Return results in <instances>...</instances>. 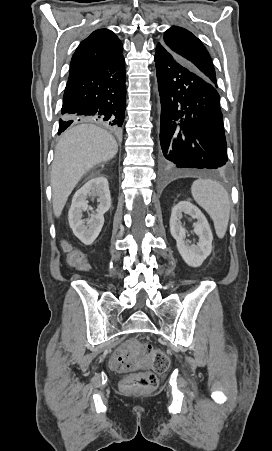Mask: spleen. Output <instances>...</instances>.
<instances>
[{"label":"spleen","instance_id":"3e777b00","mask_svg":"<svg viewBox=\"0 0 272 451\" xmlns=\"http://www.w3.org/2000/svg\"><path fill=\"white\" fill-rule=\"evenodd\" d=\"M191 194L212 218L218 237H224L230 218V202L225 188L215 180H195Z\"/></svg>","mask_w":272,"mask_h":451}]
</instances>
